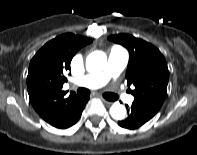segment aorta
I'll list each match as a JSON object with an SVG mask.
<instances>
[{
	"label": "aorta",
	"instance_id": "obj_1",
	"mask_svg": "<svg viewBox=\"0 0 197 155\" xmlns=\"http://www.w3.org/2000/svg\"><path fill=\"white\" fill-rule=\"evenodd\" d=\"M107 63V56L102 51H94L86 58V69L90 73L101 72ZM110 115L115 120H122L126 115V108L115 102L110 108Z\"/></svg>",
	"mask_w": 197,
	"mask_h": 155
}]
</instances>
